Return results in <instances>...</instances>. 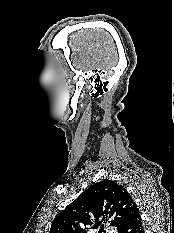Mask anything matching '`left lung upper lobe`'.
Here are the masks:
<instances>
[{
    "label": "left lung upper lobe",
    "instance_id": "left-lung-upper-lobe-1",
    "mask_svg": "<svg viewBox=\"0 0 174 233\" xmlns=\"http://www.w3.org/2000/svg\"><path fill=\"white\" fill-rule=\"evenodd\" d=\"M137 212L127 190L106 179L91 185L69 204L54 219L49 233H87L106 222L118 229ZM100 231L105 233L103 226Z\"/></svg>",
    "mask_w": 174,
    "mask_h": 233
}]
</instances>
